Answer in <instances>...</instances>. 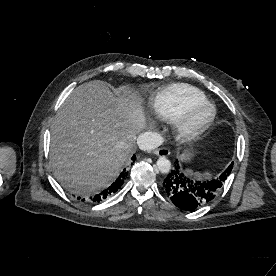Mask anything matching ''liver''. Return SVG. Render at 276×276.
Returning <instances> with one entry per match:
<instances>
[{
  "label": "liver",
  "mask_w": 276,
  "mask_h": 276,
  "mask_svg": "<svg viewBox=\"0 0 276 276\" xmlns=\"http://www.w3.org/2000/svg\"><path fill=\"white\" fill-rule=\"evenodd\" d=\"M146 118L139 95L129 87L115 96L105 82L75 88L51 129V166L69 192L86 196L106 188L135 150Z\"/></svg>",
  "instance_id": "6515ba94"
}]
</instances>
